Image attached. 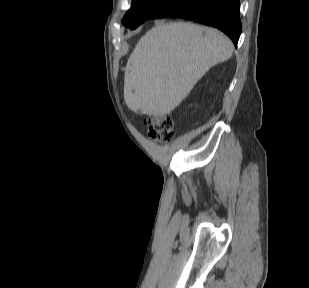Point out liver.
Wrapping results in <instances>:
<instances>
[{
    "mask_svg": "<svg viewBox=\"0 0 309 288\" xmlns=\"http://www.w3.org/2000/svg\"><path fill=\"white\" fill-rule=\"evenodd\" d=\"M233 44L217 29L189 22L157 23L130 55L124 100L130 110L170 114L213 66L228 60Z\"/></svg>",
    "mask_w": 309,
    "mask_h": 288,
    "instance_id": "6515ba94",
    "label": "liver"
}]
</instances>
